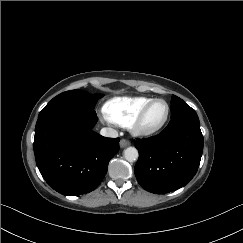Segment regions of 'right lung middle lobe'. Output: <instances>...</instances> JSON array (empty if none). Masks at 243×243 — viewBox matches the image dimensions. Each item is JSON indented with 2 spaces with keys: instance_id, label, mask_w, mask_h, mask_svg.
<instances>
[{
  "instance_id": "dd1d6c3e",
  "label": "right lung middle lobe",
  "mask_w": 243,
  "mask_h": 243,
  "mask_svg": "<svg viewBox=\"0 0 243 243\" xmlns=\"http://www.w3.org/2000/svg\"><path fill=\"white\" fill-rule=\"evenodd\" d=\"M103 94H88L83 90H71L63 92L56 97H54L44 108L42 111L47 110L49 108L57 107V106H67V107H76L86 110H94L95 104L98 99L102 98Z\"/></svg>"
}]
</instances>
